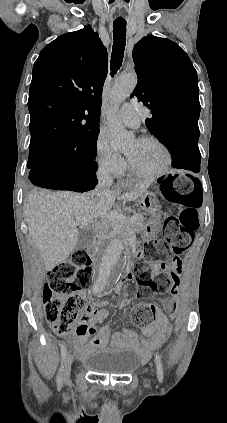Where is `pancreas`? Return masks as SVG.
<instances>
[{
    "label": "pancreas",
    "mask_w": 227,
    "mask_h": 423,
    "mask_svg": "<svg viewBox=\"0 0 227 423\" xmlns=\"http://www.w3.org/2000/svg\"><path fill=\"white\" fill-rule=\"evenodd\" d=\"M135 217V223L133 225H122V223H117V221H107V219H101L97 223V233L101 237H115L117 233L122 235V237H127L128 231H140L144 227V215L142 213H136L132 215Z\"/></svg>",
    "instance_id": "obj_1"
}]
</instances>
